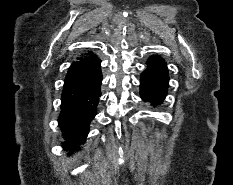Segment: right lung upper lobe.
Returning a JSON list of instances; mask_svg holds the SVG:
<instances>
[{"label": "right lung upper lobe", "mask_w": 233, "mask_h": 185, "mask_svg": "<svg viewBox=\"0 0 233 185\" xmlns=\"http://www.w3.org/2000/svg\"><path fill=\"white\" fill-rule=\"evenodd\" d=\"M90 57L89 58H95V55L93 53H89Z\"/></svg>", "instance_id": "obj_1"}]
</instances>
